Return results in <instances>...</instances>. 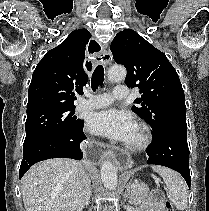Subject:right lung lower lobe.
<instances>
[{
    "mask_svg": "<svg viewBox=\"0 0 209 211\" xmlns=\"http://www.w3.org/2000/svg\"><path fill=\"white\" fill-rule=\"evenodd\" d=\"M86 138L83 133V126L73 132L53 136L41 143L35 145L24 152L21 162L19 176L20 178L30 168L31 165L50 158H72L80 160L83 154L80 149V143Z\"/></svg>",
    "mask_w": 209,
    "mask_h": 211,
    "instance_id": "obj_1",
    "label": "right lung lower lobe"
}]
</instances>
